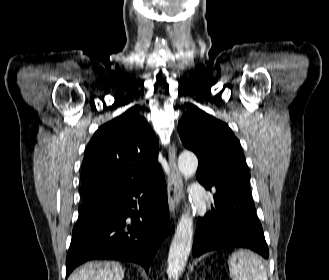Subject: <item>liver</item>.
I'll use <instances>...</instances> for the list:
<instances>
[{
    "instance_id": "liver-1",
    "label": "liver",
    "mask_w": 329,
    "mask_h": 280,
    "mask_svg": "<svg viewBox=\"0 0 329 280\" xmlns=\"http://www.w3.org/2000/svg\"><path fill=\"white\" fill-rule=\"evenodd\" d=\"M124 269L116 262H90L86 263L68 280H123Z\"/></svg>"
}]
</instances>
